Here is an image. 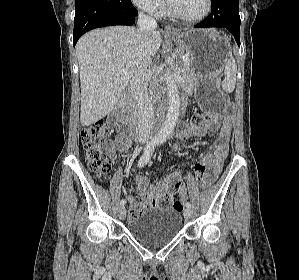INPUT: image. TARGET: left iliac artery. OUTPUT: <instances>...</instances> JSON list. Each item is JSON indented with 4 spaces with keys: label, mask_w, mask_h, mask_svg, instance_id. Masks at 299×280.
I'll return each instance as SVG.
<instances>
[{
    "label": "left iliac artery",
    "mask_w": 299,
    "mask_h": 280,
    "mask_svg": "<svg viewBox=\"0 0 299 280\" xmlns=\"http://www.w3.org/2000/svg\"><path fill=\"white\" fill-rule=\"evenodd\" d=\"M164 142V140H160L159 141V144H162ZM185 206L187 207V208H190L191 207V204L189 203V202H186L185 203Z\"/></svg>",
    "instance_id": "left-iliac-artery-1"
}]
</instances>
